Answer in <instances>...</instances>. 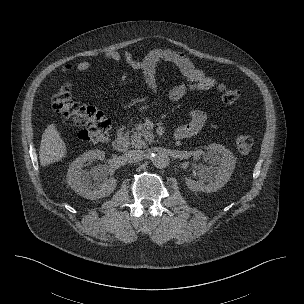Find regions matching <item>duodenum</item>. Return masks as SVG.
<instances>
[{
  "label": "duodenum",
  "mask_w": 304,
  "mask_h": 304,
  "mask_svg": "<svg viewBox=\"0 0 304 304\" xmlns=\"http://www.w3.org/2000/svg\"><path fill=\"white\" fill-rule=\"evenodd\" d=\"M174 137L177 140H180V139L184 138L183 135L181 133H179L178 131H176ZM113 147L118 152H125L128 149L129 144H128L127 136L125 134V128L124 127H121L118 130L117 136H116V138L113 142Z\"/></svg>",
  "instance_id": "duodenum-1"
}]
</instances>
